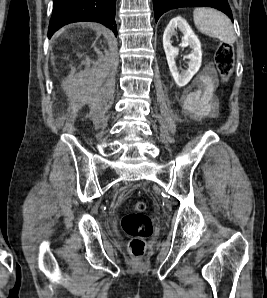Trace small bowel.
<instances>
[{
    "instance_id": "1",
    "label": "small bowel",
    "mask_w": 267,
    "mask_h": 298,
    "mask_svg": "<svg viewBox=\"0 0 267 298\" xmlns=\"http://www.w3.org/2000/svg\"><path fill=\"white\" fill-rule=\"evenodd\" d=\"M216 76L212 67H206L193 83V89L187 93L183 110L195 119L214 117L217 101L214 97Z\"/></svg>"
}]
</instances>
